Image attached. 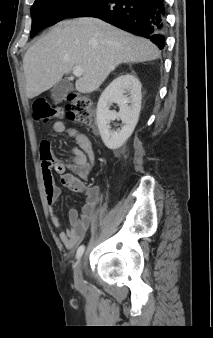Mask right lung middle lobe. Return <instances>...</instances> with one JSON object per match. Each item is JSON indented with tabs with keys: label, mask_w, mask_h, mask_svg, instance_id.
I'll list each match as a JSON object with an SVG mask.
<instances>
[{
	"label": "right lung middle lobe",
	"mask_w": 213,
	"mask_h": 338,
	"mask_svg": "<svg viewBox=\"0 0 213 338\" xmlns=\"http://www.w3.org/2000/svg\"><path fill=\"white\" fill-rule=\"evenodd\" d=\"M95 0H35L31 7V37L40 30L64 20Z\"/></svg>",
	"instance_id": "1"
}]
</instances>
